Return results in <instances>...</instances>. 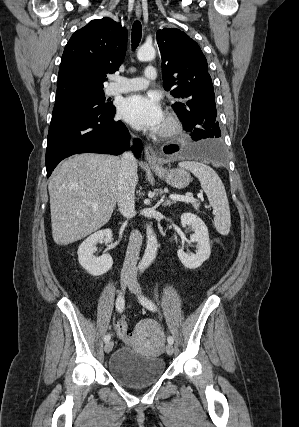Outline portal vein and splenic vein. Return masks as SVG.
Segmentation results:
<instances>
[{"label": "portal vein and splenic vein", "mask_w": 299, "mask_h": 427, "mask_svg": "<svg viewBox=\"0 0 299 427\" xmlns=\"http://www.w3.org/2000/svg\"><path fill=\"white\" fill-rule=\"evenodd\" d=\"M198 198L199 199H203V195L202 194H198ZM170 199L175 200V201H183V202H196L197 199H195L193 196H183V195H170Z\"/></svg>", "instance_id": "obj_1"}]
</instances>
